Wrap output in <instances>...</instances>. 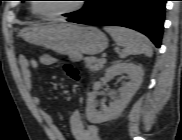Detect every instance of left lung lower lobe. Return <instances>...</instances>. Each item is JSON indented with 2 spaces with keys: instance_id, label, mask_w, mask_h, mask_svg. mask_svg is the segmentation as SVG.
Segmentation results:
<instances>
[{
  "instance_id": "left-lung-lower-lobe-1",
  "label": "left lung lower lobe",
  "mask_w": 182,
  "mask_h": 140,
  "mask_svg": "<svg viewBox=\"0 0 182 140\" xmlns=\"http://www.w3.org/2000/svg\"><path fill=\"white\" fill-rule=\"evenodd\" d=\"M166 0H100L87 14L68 21L88 25L123 26L145 34L161 45Z\"/></svg>"
}]
</instances>
